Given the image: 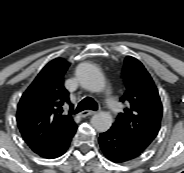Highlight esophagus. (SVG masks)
Masks as SVG:
<instances>
[{"instance_id": "34e87169", "label": "esophagus", "mask_w": 184, "mask_h": 173, "mask_svg": "<svg viewBox=\"0 0 184 173\" xmlns=\"http://www.w3.org/2000/svg\"><path fill=\"white\" fill-rule=\"evenodd\" d=\"M97 111H93V110H84L80 113V116L81 117H86V116H91V115H94L96 114Z\"/></svg>"}]
</instances>
